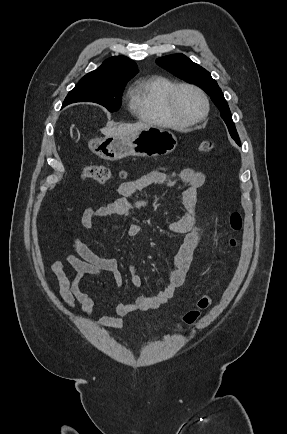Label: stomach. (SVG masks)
<instances>
[{"label":"stomach","instance_id":"1","mask_svg":"<svg viewBox=\"0 0 287 434\" xmlns=\"http://www.w3.org/2000/svg\"><path fill=\"white\" fill-rule=\"evenodd\" d=\"M177 146L175 135L165 129L150 126L131 136H106L89 143L100 158L116 161L127 156L156 157L171 153Z\"/></svg>","mask_w":287,"mask_h":434}]
</instances>
